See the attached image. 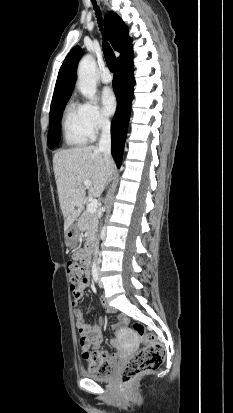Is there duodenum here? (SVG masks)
<instances>
[{
  "instance_id": "obj_1",
  "label": "duodenum",
  "mask_w": 233,
  "mask_h": 413,
  "mask_svg": "<svg viewBox=\"0 0 233 413\" xmlns=\"http://www.w3.org/2000/svg\"><path fill=\"white\" fill-rule=\"evenodd\" d=\"M92 249H93V240H92V239H89V240L87 241V243H86V245H85V249H84L85 259L89 258L90 254H91V252H92Z\"/></svg>"
}]
</instances>
